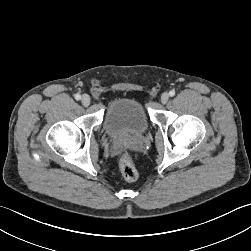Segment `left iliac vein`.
I'll list each match as a JSON object with an SVG mask.
<instances>
[{"label": "left iliac vein", "instance_id": "left-iliac-vein-1", "mask_svg": "<svg viewBox=\"0 0 251 251\" xmlns=\"http://www.w3.org/2000/svg\"><path fill=\"white\" fill-rule=\"evenodd\" d=\"M168 100H169V94L168 93H163L162 95H161V102L163 103V104H166L167 102H168Z\"/></svg>", "mask_w": 251, "mask_h": 251}]
</instances>
